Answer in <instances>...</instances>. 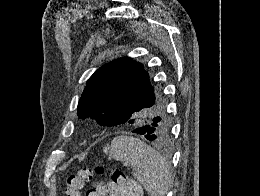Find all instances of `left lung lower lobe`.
Masks as SVG:
<instances>
[{
  "instance_id": "obj_1",
  "label": "left lung lower lobe",
  "mask_w": 260,
  "mask_h": 196,
  "mask_svg": "<svg viewBox=\"0 0 260 196\" xmlns=\"http://www.w3.org/2000/svg\"><path fill=\"white\" fill-rule=\"evenodd\" d=\"M134 112V108L131 107H110L102 113L97 119V122L104 126H116L128 121L133 116ZM152 131V123L140 125L132 130L133 133L144 135V137L150 141L153 139Z\"/></svg>"
}]
</instances>
